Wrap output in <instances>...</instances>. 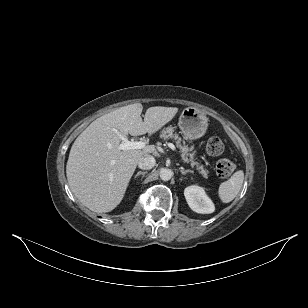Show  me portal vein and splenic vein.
Listing matches in <instances>:
<instances>
[{"label": "portal vein and splenic vein", "instance_id": "18ae733b", "mask_svg": "<svg viewBox=\"0 0 308 308\" xmlns=\"http://www.w3.org/2000/svg\"><path fill=\"white\" fill-rule=\"evenodd\" d=\"M117 134L122 140L121 144L118 146L119 150L143 149L146 146V142L144 141H129L124 136H122L120 133H117ZM167 145L173 151H177L176 147L172 143H168Z\"/></svg>", "mask_w": 308, "mask_h": 308}]
</instances>
